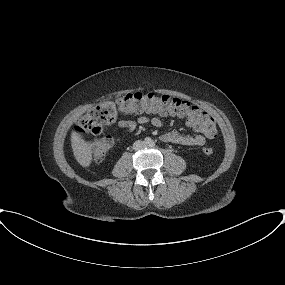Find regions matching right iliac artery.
<instances>
[{"label":"right iliac artery","instance_id":"1","mask_svg":"<svg viewBox=\"0 0 285 285\" xmlns=\"http://www.w3.org/2000/svg\"><path fill=\"white\" fill-rule=\"evenodd\" d=\"M150 142H151V139H150V138H145V143H146V144H150Z\"/></svg>","mask_w":285,"mask_h":285}]
</instances>
